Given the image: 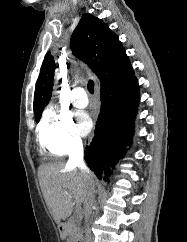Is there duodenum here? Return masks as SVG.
Listing matches in <instances>:
<instances>
[{
    "label": "duodenum",
    "mask_w": 187,
    "mask_h": 242,
    "mask_svg": "<svg viewBox=\"0 0 187 242\" xmlns=\"http://www.w3.org/2000/svg\"><path fill=\"white\" fill-rule=\"evenodd\" d=\"M67 228H68L67 223L62 222L59 224L58 230H59L60 236H63V237L66 236Z\"/></svg>",
    "instance_id": "1"
}]
</instances>
